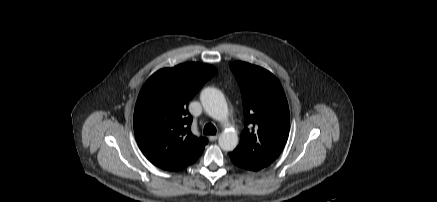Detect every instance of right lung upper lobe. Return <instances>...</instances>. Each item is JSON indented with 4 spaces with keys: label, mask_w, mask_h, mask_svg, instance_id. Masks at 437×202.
Wrapping results in <instances>:
<instances>
[{
    "label": "right lung upper lobe",
    "mask_w": 437,
    "mask_h": 202,
    "mask_svg": "<svg viewBox=\"0 0 437 202\" xmlns=\"http://www.w3.org/2000/svg\"><path fill=\"white\" fill-rule=\"evenodd\" d=\"M216 72L211 65L184 63L155 72L143 85L134 110V133L155 166L179 171L202 154L208 140L192 134L188 103Z\"/></svg>",
    "instance_id": "right-lung-upper-lobe-1"
}]
</instances>
